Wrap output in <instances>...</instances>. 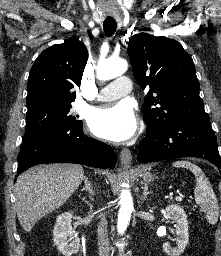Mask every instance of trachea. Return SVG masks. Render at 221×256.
<instances>
[{"mask_svg":"<svg viewBox=\"0 0 221 256\" xmlns=\"http://www.w3.org/2000/svg\"><path fill=\"white\" fill-rule=\"evenodd\" d=\"M117 23L113 20H106L103 23V28L107 36H112L116 30Z\"/></svg>","mask_w":221,"mask_h":256,"instance_id":"trachea-1","label":"trachea"}]
</instances>
